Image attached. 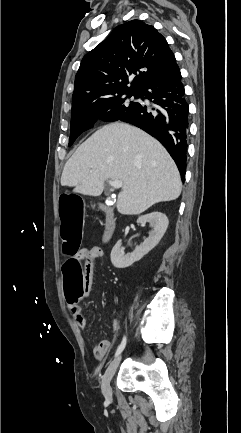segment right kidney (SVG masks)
I'll use <instances>...</instances> for the list:
<instances>
[{
	"label": "right kidney",
	"mask_w": 241,
	"mask_h": 433,
	"mask_svg": "<svg viewBox=\"0 0 241 433\" xmlns=\"http://www.w3.org/2000/svg\"><path fill=\"white\" fill-rule=\"evenodd\" d=\"M138 224L149 223L153 228L148 238L144 239V242L135 248V250L129 254H124L122 247V241L118 240L111 251V262L116 268H126L131 266L133 263L139 261L144 255L151 251L161 240L164 233L167 230L169 221L165 214L155 211L149 214L140 216L137 219Z\"/></svg>",
	"instance_id": "1"
}]
</instances>
